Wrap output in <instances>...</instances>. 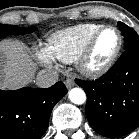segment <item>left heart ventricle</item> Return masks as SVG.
<instances>
[{"instance_id": "obj_1", "label": "left heart ventricle", "mask_w": 139, "mask_h": 139, "mask_svg": "<svg viewBox=\"0 0 139 139\" xmlns=\"http://www.w3.org/2000/svg\"><path fill=\"white\" fill-rule=\"evenodd\" d=\"M118 44V36L114 30L104 31L97 39L89 63L96 67L105 63L113 54Z\"/></svg>"}]
</instances>
